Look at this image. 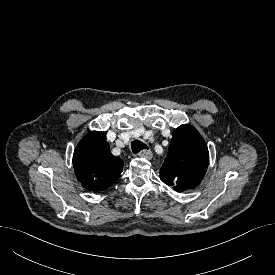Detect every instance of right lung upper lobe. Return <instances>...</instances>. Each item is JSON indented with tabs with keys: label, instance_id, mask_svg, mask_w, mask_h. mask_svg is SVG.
<instances>
[{
	"label": "right lung upper lobe",
	"instance_id": "right-lung-upper-lobe-1",
	"mask_svg": "<svg viewBox=\"0 0 275 275\" xmlns=\"http://www.w3.org/2000/svg\"><path fill=\"white\" fill-rule=\"evenodd\" d=\"M105 134L92 131L77 145L73 166L77 179L90 191H102L112 185L123 170V161L112 155Z\"/></svg>",
	"mask_w": 275,
	"mask_h": 275
}]
</instances>
